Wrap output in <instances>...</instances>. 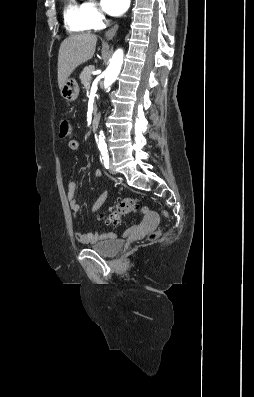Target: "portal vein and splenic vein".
Returning a JSON list of instances; mask_svg holds the SVG:
<instances>
[{"label": "portal vein and splenic vein", "instance_id": "1", "mask_svg": "<svg viewBox=\"0 0 254 397\" xmlns=\"http://www.w3.org/2000/svg\"><path fill=\"white\" fill-rule=\"evenodd\" d=\"M86 85H87L88 87H90V83H87Z\"/></svg>", "mask_w": 254, "mask_h": 397}]
</instances>
